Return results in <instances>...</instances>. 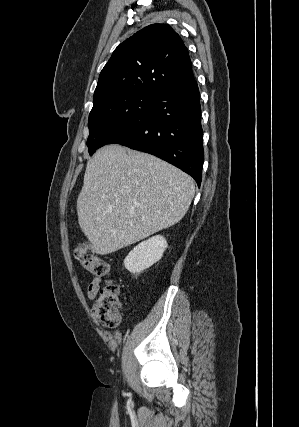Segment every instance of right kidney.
<instances>
[{
  "label": "right kidney",
  "instance_id": "right-kidney-1",
  "mask_svg": "<svg viewBox=\"0 0 299 427\" xmlns=\"http://www.w3.org/2000/svg\"><path fill=\"white\" fill-rule=\"evenodd\" d=\"M167 246L163 236H153L134 247L125 258L124 266L133 274L143 272L162 258Z\"/></svg>",
  "mask_w": 299,
  "mask_h": 427
}]
</instances>
